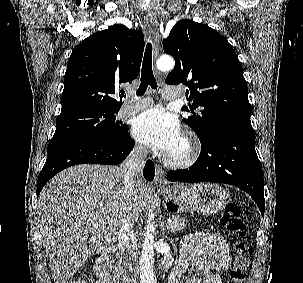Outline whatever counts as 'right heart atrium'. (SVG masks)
<instances>
[{
  "mask_svg": "<svg viewBox=\"0 0 303 283\" xmlns=\"http://www.w3.org/2000/svg\"><path fill=\"white\" fill-rule=\"evenodd\" d=\"M133 151L137 154V155H144L146 153V149L143 145L136 143L134 145Z\"/></svg>",
  "mask_w": 303,
  "mask_h": 283,
  "instance_id": "d8ad5b80",
  "label": "right heart atrium"
}]
</instances>
